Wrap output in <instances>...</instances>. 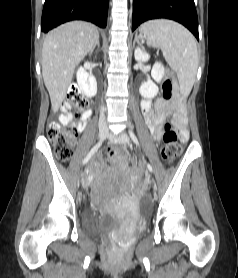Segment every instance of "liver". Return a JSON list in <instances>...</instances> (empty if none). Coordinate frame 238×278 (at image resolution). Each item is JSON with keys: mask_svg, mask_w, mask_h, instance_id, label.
Instances as JSON below:
<instances>
[{"mask_svg": "<svg viewBox=\"0 0 238 278\" xmlns=\"http://www.w3.org/2000/svg\"><path fill=\"white\" fill-rule=\"evenodd\" d=\"M98 38V29L83 21L65 23L46 35L42 48V75L54 112L59 110L66 97L75 68Z\"/></svg>", "mask_w": 238, "mask_h": 278, "instance_id": "liver-1", "label": "liver"}]
</instances>
